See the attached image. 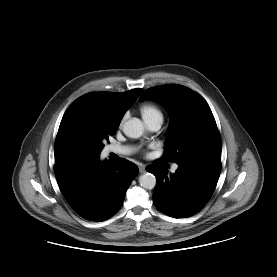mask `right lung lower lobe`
Masks as SVG:
<instances>
[{"mask_svg": "<svg viewBox=\"0 0 277 277\" xmlns=\"http://www.w3.org/2000/svg\"><path fill=\"white\" fill-rule=\"evenodd\" d=\"M54 172L72 209L87 220L101 222L121 208L126 190L139 170L125 159L111 165L93 157L55 162Z\"/></svg>", "mask_w": 277, "mask_h": 277, "instance_id": "1", "label": "right lung lower lobe"}]
</instances>
